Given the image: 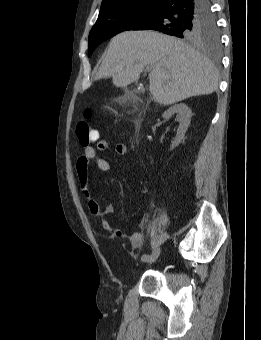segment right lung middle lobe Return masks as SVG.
Here are the masks:
<instances>
[{"label":"right lung middle lobe","mask_w":261,"mask_h":340,"mask_svg":"<svg viewBox=\"0 0 261 340\" xmlns=\"http://www.w3.org/2000/svg\"><path fill=\"white\" fill-rule=\"evenodd\" d=\"M162 0L135 1L110 8L101 14L89 34V56L103 41L116 34L131 30L148 17ZM182 38L192 42H206L217 45L220 40L216 19L212 12L190 19Z\"/></svg>","instance_id":"right-lung-middle-lobe-1"}]
</instances>
